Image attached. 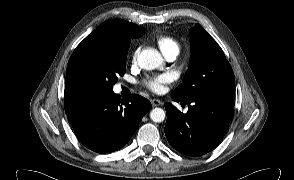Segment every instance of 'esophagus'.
<instances>
[{"label": "esophagus", "mask_w": 294, "mask_h": 180, "mask_svg": "<svg viewBox=\"0 0 294 180\" xmlns=\"http://www.w3.org/2000/svg\"><path fill=\"white\" fill-rule=\"evenodd\" d=\"M151 103H152V106H154V107L162 105V102L158 99H152Z\"/></svg>", "instance_id": "esophagus-1"}]
</instances>
